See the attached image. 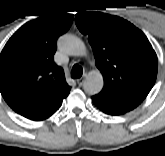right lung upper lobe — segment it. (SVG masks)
I'll use <instances>...</instances> for the list:
<instances>
[{"mask_svg": "<svg viewBox=\"0 0 165 156\" xmlns=\"http://www.w3.org/2000/svg\"><path fill=\"white\" fill-rule=\"evenodd\" d=\"M72 14L44 16L22 26L0 54V92L18 114L35 121L54 114L70 92L64 71L53 61L57 39Z\"/></svg>", "mask_w": 165, "mask_h": 156, "instance_id": "1", "label": "right lung upper lobe"}]
</instances>
